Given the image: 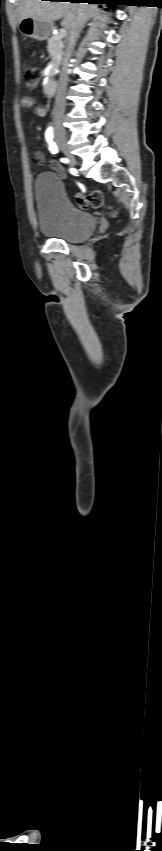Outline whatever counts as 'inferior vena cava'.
<instances>
[{
	"instance_id": "1",
	"label": "inferior vena cava",
	"mask_w": 162,
	"mask_h": 851,
	"mask_svg": "<svg viewBox=\"0 0 162 851\" xmlns=\"http://www.w3.org/2000/svg\"><path fill=\"white\" fill-rule=\"evenodd\" d=\"M86 21H87L86 12L80 11V13L78 15V19H77V24L70 31L69 43H70L71 50L74 49L76 41L79 38L80 33H81L83 26H84ZM68 70H69L68 69V63H66L64 68H63V72L61 74L60 80H59L57 95H56V99H55L54 112H53L55 132H61V133H65V130L62 126V121H63L65 106H66L65 94H66V86H67V80H68Z\"/></svg>"
}]
</instances>
